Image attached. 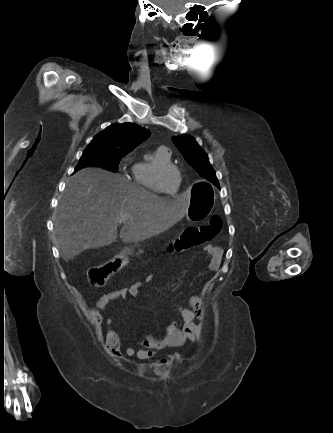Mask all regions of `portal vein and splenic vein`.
I'll use <instances>...</instances> for the list:
<instances>
[{
  "mask_svg": "<svg viewBox=\"0 0 333 433\" xmlns=\"http://www.w3.org/2000/svg\"><path fill=\"white\" fill-rule=\"evenodd\" d=\"M129 218H130V216H129L128 214H120L119 219H118V222H119V223H123V222H125L126 220H128Z\"/></svg>",
  "mask_w": 333,
  "mask_h": 433,
  "instance_id": "1",
  "label": "portal vein and splenic vein"
}]
</instances>
